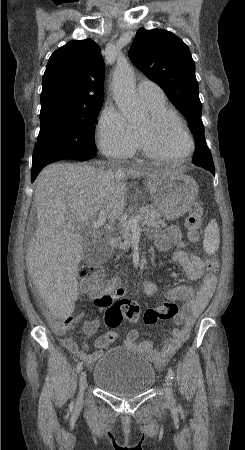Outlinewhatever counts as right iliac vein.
I'll return each mask as SVG.
<instances>
[{
    "instance_id": "right-iliac-vein-1",
    "label": "right iliac vein",
    "mask_w": 245,
    "mask_h": 450,
    "mask_svg": "<svg viewBox=\"0 0 245 450\" xmlns=\"http://www.w3.org/2000/svg\"><path fill=\"white\" fill-rule=\"evenodd\" d=\"M87 387V375L85 371H82L79 376V396L78 399L82 400Z\"/></svg>"
}]
</instances>
